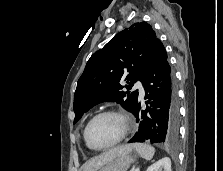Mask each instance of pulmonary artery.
I'll return each instance as SVG.
<instances>
[{"label": "pulmonary artery", "mask_w": 223, "mask_h": 171, "mask_svg": "<svg viewBox=\"0 0 223 171\" xmlns=\"http://www.w3.org/2000/svg\"><path fill=\"white\" fill-rule=\"evenodd\" d=\"M135 88L138 89V91H139V93H140V96L143 97L144 94H145L143 85H142L140 82H137V83L135 84Z\"/></svg>", "instance_id": "obj_1"}]
</instances>
